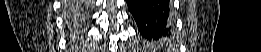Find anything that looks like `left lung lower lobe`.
Instances as JSON below:
<instances>
[{
    "instance_id": "left-lung-lower-lobe-1",
    "label": "left lung lower lobe",
    "mask_w": 261,
    "mask_h": 52,
    "mask_svg": "<svg viewBox=\"0 0 261 52\" xmlns=\"http://www.w3.org/2000/svg\"><path fill=\"white\" fill-rule=\"evenodd\" d=\"M126 2L145 39H159L172 33L169 0H126Z\"/></svg>"
}]
</instances>
